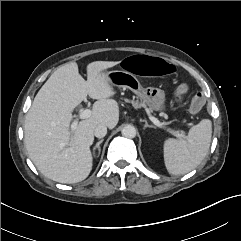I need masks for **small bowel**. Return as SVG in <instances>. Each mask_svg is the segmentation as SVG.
Returning a JSON list of instances; mask_svg holds the SVG:
<instances>
[{
	"mask_svg": "<svg viewBox=\"0 0 241 241\" xmlns=\"http://www.w3.org/2000/svg\"><path fill=\"white\" fill-rule=\"evenodd\" d=\"M134 56H136V55H134ZM154 56H155V55H154ZM158 57H160V56H158ZM186 91H187V85H186V84H181V85L178 87L177 91H176V97H177L178 99H181L182 96L186 93Z\"/></svg>",
	"mask_w": 241,
	"mask_h": 241,
	"instance_id": "c3829d8e",
	"label": "small bowel"
}]
</instances>
